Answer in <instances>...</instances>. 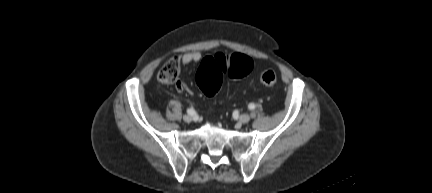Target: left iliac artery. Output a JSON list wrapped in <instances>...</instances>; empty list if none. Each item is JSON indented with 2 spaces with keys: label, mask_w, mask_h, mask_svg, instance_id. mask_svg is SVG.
Segmentation results:
<instances>
[{
  "label": "left iliac artery",
  "mask_w": 432,
  "mask_h": 193,
  "mask_svg": "<svg viewBox=\"0 0 432 193\" xmlns=\"http://www.w3.org/2000/svg\"><path fill=\"white\" fill-rule=\"evenodd\" d=\"M248 108H249L250 110H253V109L255 108V105H254L253 103H250V104L248 105Z\"/></svg>",
  "instance_id": "1"
}]
</instances>
